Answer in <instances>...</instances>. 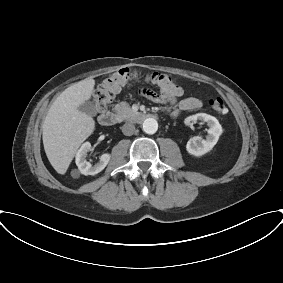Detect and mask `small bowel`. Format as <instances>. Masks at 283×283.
<instances>
[{
	"label": "small bowel",
	"mask_w": 283,
	"mask_h": 283,
	"mask_svg": "<svg viewBox=\"0 0 283 283\" xmlns=\"http://www.w3.org/2000/svg\"><path fill=\"white\" fill-rule=\"evenodd\" d=\"M175 89H176V95L171 96L169 98L166 99H159L157 97L156 94H151L148 96V98H150L151 100L154 101H166V102H170V103H174L176 102L177 98L181 95V88L179 86H177L175 84ZM201 106V101L196 98V97H187L184 98L182 100H180L176 106V108H174L172 114L174 116H177L180 112L182 111H192V110H196L198 108H200Z\"/></svg>",
	"instance_id": "c3829d8e"
}]
</instances>
